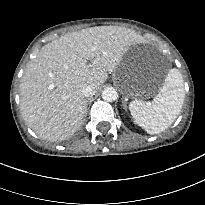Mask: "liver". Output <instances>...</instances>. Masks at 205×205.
<instances>
[{"label": "liver", "mask_w": 205, "mask_h": 205, "mask_svg": "<svg viewBox=\"0 0 205 205\" xmlns=\"http://www.w3.org/2000/svg\"><path fill=\"white\" fill-rule=\"evenodd\" d=\"M136 39L132 30L97 26L43 46L20 84L21 111L28 126L50 141L72 136L86 112L83 88L93 85L98 90Z\"/></svg>", "instance_id": "1"}]
</instances>
